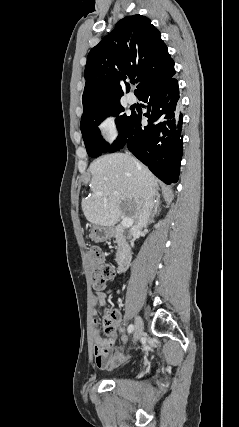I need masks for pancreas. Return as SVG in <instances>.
I'll return each instance as SVG.
<instances>
[{
	"mask_svg": "<svg viewBox=\"0 0 239 427\" xmlns=\"http://www.w3.org/2000/svg\"><path fill=\"white\" fill-rule=\"evenodd\" d=\"M113 235H114V237L116 239L115 242L118 244L117 250H119L120 247H121V245H122V243H123L122 227L121 226H117L115 228V230L113 231Z\"/></svg>",
	"mask_w": 239,
	"mask_h": 427,
	"instance_id": "pancreas-1",
	"label": "pancreas"
}]
</instances>
